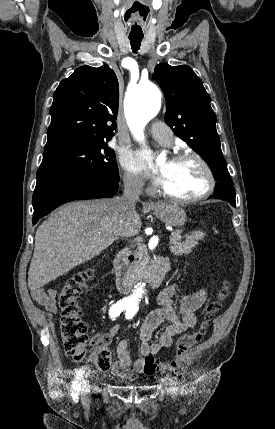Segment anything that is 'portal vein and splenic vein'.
<instances>
[{
  "mask_svg": "<svg viewBox=\"0 0 275 429\" xmlns=\"http://www.w3.org/2000/svg\"><path fill=\"white\" fill-rule=\"evenodd\" d=\"M176 237H178V238H179V237H181V236H180V234H179V233L174 234V235L170 238V244H174V243H175L174 241H175V238H176Z\"/></svg>",
  "mask_w": 275,
  "mask_h": 429,
  "instance_id": "1",
  "label": "portal vein and splenic vein"
}]
</instances>
